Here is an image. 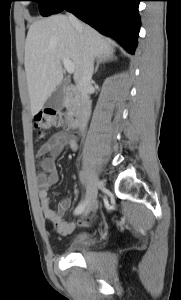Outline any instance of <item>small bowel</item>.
<instances>
[{
	"label": "small bowel",
	"mask_w": 181,
	"mask_h": 300,
	"mask_svg": "<svg viewBox=\"0 0 181 300\" xmlns=\"http://www.w3.org/2000/svg\"><path fill=\"white\" fill-rule=\"evenodd\" d=\"M65 146H69L72 151H77L78 144L76 140L64 132H55L49 140L43 144L37 155L41 157L40 173L36 176V183L39 186L38 197L41 203V210L44 218L48 221L60 235L70 234L75 227L85 226L91 222V216L84 215L76 223L66 222L63 219L64 214L71 206L69 199H63L54 209L49 200V189L59 181V173L55 165V158L61 153ZM49 156H46V155Z\"/></svg>",
	"instance_id": "c3829d8e"
}]
</instances>
